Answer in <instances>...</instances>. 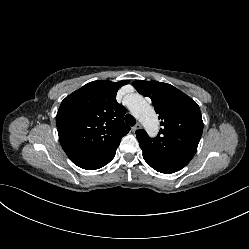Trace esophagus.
<instances>
[{"mask_svg": "<svg viewBox=\"0 0 249 249\" xmlns=\"http://www.w3.org/2000/svg\"><path fill=\"white\" fill-rule=\"evenodd\" d=\"M141 128V124L140 123H136V125L134 127H132L133 132H135L136 130Z\"/></svg>", "mask_w": 249, "mask_h": 249, "instance_id": "1", "label": "esophagus"}]
</instances>
